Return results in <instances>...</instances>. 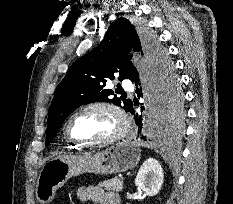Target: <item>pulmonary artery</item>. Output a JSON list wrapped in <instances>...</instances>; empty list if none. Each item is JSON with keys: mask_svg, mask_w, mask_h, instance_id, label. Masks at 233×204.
Instances as JSON below:
<instances>
[{"mask_svg": "<svg viewBox=\"0 0 233 204\" xmlns=\"http://www.w3.org/2000/svg\"><path fill=\"white\" fill-rule=\"evenodd\" d=\"M122 85H123V87L125 88V89H127V90H132V83H131V81L130 80H124L123 82H122Z\"/></svg>", "mask_w": 233, "mask_h": 204, "instance_id": "1", "label": "pulmonary artery"}]
</instances>
